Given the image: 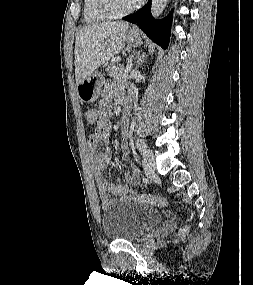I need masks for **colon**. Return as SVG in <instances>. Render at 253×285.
<instances>
[{
  "label": "colon",
  "mask_w": 253,
  "mask_h": 285,
  "mask_svg": "<svg viewBox=\"0 0 253 285\" xmlns=\"http://www.w3.org/2000/svg\"><path fill=\"white\" fill-rule=\"evenodd\" d=\"M85 118L88 123L94 124L97 121L96 110L89 109L85 112ZM132 199L136 202L152 205L157 207H166L168 205V200L162 196L153 195V194H134ZM187 232V227H183L180 231L181 234Z\"/></svg>",
  "instance_id": "5ec220e1"
}]
</instances>
